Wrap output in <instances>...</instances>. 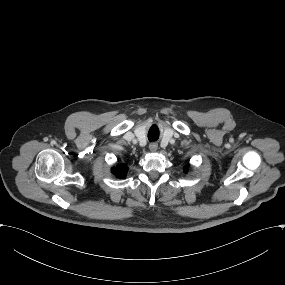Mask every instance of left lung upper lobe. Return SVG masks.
I'll use <instances>...</instances> for the list:
<instances>
[{
	"label": "left lung upper lobe",
	"instance_id": "5c2ea615",
	"mask_svg": "<svg viewBox=\"0 0 285 285\" xmlns=\"http://www.w3.org/2000/svg\"><path fill=\"white\" fill-rule=\"evenodd\" d=\"M188 170V168L187 167H185V171H187Z\"/></svg>",
	"mask_w": 285,
	"mask_h": 285
}]
</instances>
